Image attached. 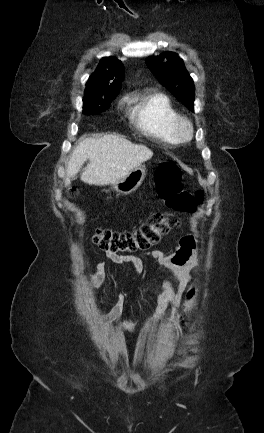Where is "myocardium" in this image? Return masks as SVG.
<instances>
[{"instance_id":"obj_1","label":"myocardium","mask_w":264,"mask_h":433,"mask_svg":"<svg viewBox=\"0 0 264 433\" xmlns=\"http://www.w3.org/2000/svg\"><path fill=\"white\" fill-rule=\"evenodd\" d=\"M174 133L181 142L191 140L194 136L193 123L185 117H179L174 124Z\"/></svg>"}]
</instances>
